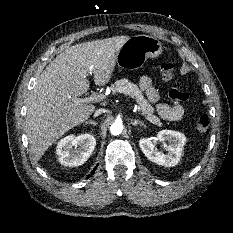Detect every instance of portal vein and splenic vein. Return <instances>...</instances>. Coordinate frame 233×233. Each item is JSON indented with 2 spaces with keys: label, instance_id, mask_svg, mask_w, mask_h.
Masks as SVG:
<instances>
[{
  "label": "portal vein and splenic vein",
  "instance_id": "obj_1",
  "mask_svg": "<svg viewBox=\"0 0 233 233\" xmlns=\"http://www.w3.org/2000/svg\"><path fill=\"white\" fill-rule=\"evenodd\" d=\"M105 98V95L103 94H97L95 92L91 93L88 97L86 98H77L74 99L76 103H95V102H100ZM135 108L140 111L139 106L135 104Z\"/></svg>",
  "mask_w": 233,
  "mask_h": 233
}]
</instances>
